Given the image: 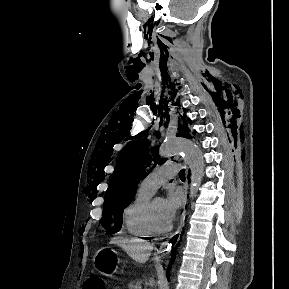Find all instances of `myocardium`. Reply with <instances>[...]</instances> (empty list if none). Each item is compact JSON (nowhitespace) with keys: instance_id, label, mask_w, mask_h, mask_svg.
Wrapping results in <instances>:
<instances>
[{"instance_id":"f54148a6","label":"myocardium","mask_w":289,"mask_h":289,"mask_svg":"<svg viewBox=\"0 0 289 289\" xmlns=\"http://www.w3.org/2000/svg\"><path fill=\"white\" fill-rule=\"evenodd\" d=\"M153 202L154 198L150 199L147 205V219L149 225L155 234H164L171 229L172 225L170 223H168L167 225H160L157 223L153 213Z\"/></svg>"}]
</instances>
